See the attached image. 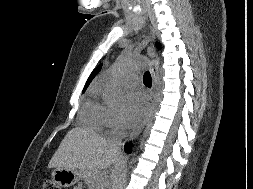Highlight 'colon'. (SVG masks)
<instances>
[{
  "mask_svg": "<svg viewBox=\"0 0 253 189\" xmlns=\"http://www.w3.org/2000/svg\"><path fill=\"white\" fill-rule=\"evenodd\" d=\"M42 189H60V187L55 182H53L51 180H46L43 183Z\"/></svg>",
  "mask_w": 253,
  "mask_h": 189,
  "instance_id": "colon-1",
  "label": "colon"
}]
</instances>
